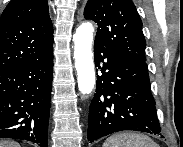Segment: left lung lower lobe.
I'll return each mask as SVG.
<instances>
[{"label": "left lung lower lobe", "instance_id": "obj_1", "mask_svg": "<svg viewBox=\"0 0 183 147\" xmlns=\"http://www.w3.org/2000/svg\"><path fill=\"white\" fill-rule=\"evenodd\" d=\"M94 56L101 74L89 109L88 140L124 130L160 134L147 65L98 43Z\"/></svg>", "mask_w": 183, "mask_h": 147}]
</instances>
